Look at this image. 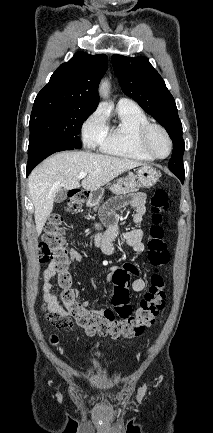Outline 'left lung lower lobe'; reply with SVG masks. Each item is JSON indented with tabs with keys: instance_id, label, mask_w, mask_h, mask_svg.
Segmentation results:
<instances>
[{
	"instance_id": "left-lung-lower-lobe-1",
	"label": "left lung lower lobe",
	"mask_w": 213,
	"mask_h": 433,
	"mask_svg": "<svg viewBox=\"0 0 213 433\" xmlns=\"http://www.w3.org/2000/svg\"><path fill=\"white\" fill-rule=\"evenodd\" d=\"M177 177L181 180V182H182V184H183L185 176H180V175H178Z\"/></svg>"
}]
</instances>
